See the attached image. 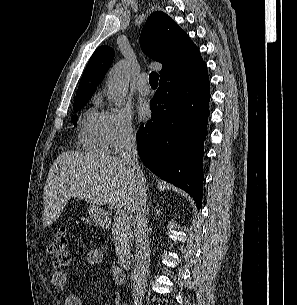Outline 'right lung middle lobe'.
Listing matches in <instances>:
<instances>
[{"mask_svg":"<svg viewBox=\"0 0 297 305\" xmlns=\"http://www.w3.org/2000/svg\"><path fill=\"white\" fill-rule=\"evenodd\" d=\"M89 98L90 97H86V98H83V99L75 101V103H74V111H77V110L83 108L86 105V103L89 100ZM77 119H78L77 116H74L73 119H72V122L75 124L77 122Z\"/></svg>","mask_w":297,"mask_h":305,"instance_id":"1","label":"right lung middle lobe"}]
</instances>
